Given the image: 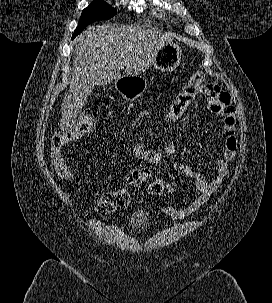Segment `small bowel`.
I'll list each match as a JSON object with an SVG mask.
<instances>
[{
  "instance_id": "c3829d8e",
  "label": "small bowel",
  "mask_w": 272,
  "mask_h": 303,
  "mask_svg": "<svg viewBox=\"0 0 272 303\" xmlns=\"http://www.w3.org/2000/svg\"><path fill=\"white\" fill-rule=\"evenodd\" d=\"M200 93L207 99L208 110L223 117L221 134L224 138V150L222 157L217 162L216 174L210 181L205 180L202 175L189 166L179 162L175 163L180 172L192 180L198 192V196L183 208L174 206L163 208V212L178 219L185 218L198 211L207 203L212 194L220 188L228 175L229 163L235 157L237 150L236 113L231 96L214 84H204ZM133 154L136 158L151 164L164 163L169 160V156L165 152L150 148H133ZM197 155L199 157L203 156L201 151H198ZM150 177L151 173L147 168L142 166L132 167L125 175V184L129 187H135L148 181ZM164 193L173 194V186L166 184Z\"/></svg>"
}]
</instances>
